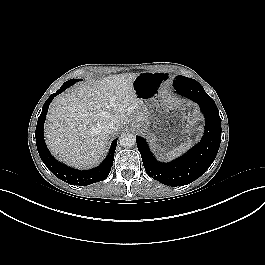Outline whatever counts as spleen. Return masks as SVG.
Masks as SVG:
<instances>
[{"label": "spleen", "instance_id": "obj_1", "mask_svg": "<svg viewBox=\"0 0 265 265\" xmlns=\"http://www.w3.org/2000/svg\"><path fill=\"white\" fill-rule=\"evenodd\" d=\"M192 143H193L192 141H187L185 143H181L175 149L167 152L165 154L166 158L170 159V158H173V157H176V156L180 155L181 153H183L186 150H188L191 147Z\"/></svg>", "mask_w": 265, "mask_h": 265}]
</instances>
